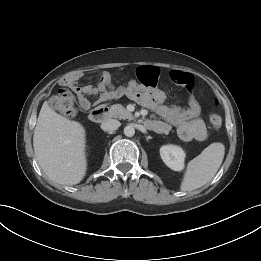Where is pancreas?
<instances>
[{
	"label": "pancreas",
	"mask_w": 261,
	"mask_h": 261,
	"mask_svg": "<svg viewBox=\"0 0 261 261\" xmlns=\"http://www.w3.org/2000/svg\"><path fill=\"white\" fill-rule=\"evenodd\" d=\"M110 116L119 119H129L132 120L134 116L125 107L120 104L112 105L110 107Z\"/></svg>",
	"instance_id": "cf45deb5"
}]
</instances>
